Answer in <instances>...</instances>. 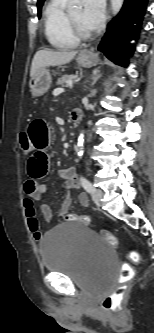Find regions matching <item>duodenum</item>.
I'll return each mask as SVG.
<instances>
[{
  "instance_id": "duodenum-1",
  "label": "duodenum",
  "mask_w": 154,
  "mask_h": 333,
  "mask_svg": "<svg viewBox=\"0 0 154 333\" xmlns=\"http://www.w3.org/2000/svg\"><path fill=\"white\" fill-rule=\"evenodd\" d=\"M83 110L80 108H75L71 111L70 118L73 124H78L82 120Z\"/></svg>"
}]
</instances>
